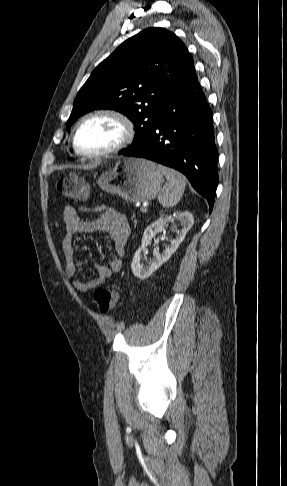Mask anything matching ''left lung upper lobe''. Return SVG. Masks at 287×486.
I'll return each mask as SVG.
<instances>
[{"mask_svg":"<svg viewBox=\"0 0 287 486\" xmlns=\"http://www.w3.org/2000/svg\"><path fill=\"white\" fill-rule=\"evenodd\" d=\"M195 73L193 58L172 32L147 28L123 42L92 72L78 92L67 130L81 115L113 109L134 124L137 146L172 93Z\"/></svg>","mask_w":287,"mask_h":486,"instance_id":"left-lung-upper-lobe-1","label":"left lung upper lobe"}]
</instances>
